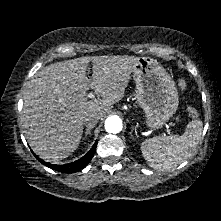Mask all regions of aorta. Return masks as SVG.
<instances>
[{"label":"aorta","mask_w":221,"mask_h":221,"mask_svg":"<svg viewBox=\"0 0 221 221\" xmlns=\"http://www.w3.org/2000/svg\"><path fill=\"white\" fill-rule=\"evenodd\" d=\"M105 130L108 133H119L122 130V120L118 116H110L105 121Z\"/></svg>","instance_id":"obj_1"}]
</instances>
